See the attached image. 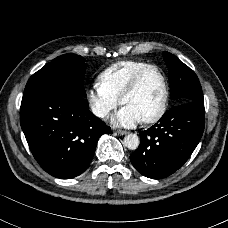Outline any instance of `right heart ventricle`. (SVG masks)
Returning a JSON list of instances; mask_svg holds the SVG:
<instances>
[{
    "instance_id": "e07e8e85",
    "label": "right heart ventricle",
    "mask_w": 228,
    "mask_h": 228,
    "mask_svg": "<svg viewBox=\"0 0 228 228\" xmlns=\"http://www.w3.org/2000/svg\"><path fill=\"white\" fill-rule=\"evenodd\" d=\"M148 64L150 63L140 60L117 61L101 71L99 83L105 91L120 100L135 73Z\"/></svg>"
}]
</instances>
